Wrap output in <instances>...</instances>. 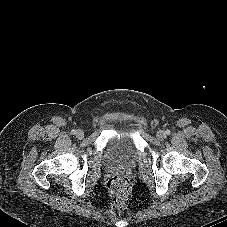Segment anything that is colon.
<instances>
[{
    "mask_svg": "<svg viewBox=\"0 0 227 227\" xmlns=\"http://www.w3.org/2000/svg\"><path fill=\"white\" fill-rule=\"evenodd\" d=\"M107 190L113 205L123 206L131 193L129 179L122 174L113 175L107 181Z\"/></svg>",
    "mask_w": 227,
    "mask_h": 227,
    "instance_id": "5ec220e1",
    "label": "colon"
}]
</instances>
